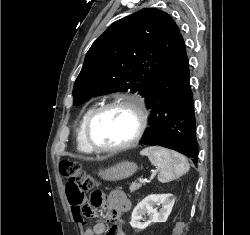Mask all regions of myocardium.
I'll return each instance as SVG.
<instances>
[{
  "label": "myocardium",
  "mask_w": 250,
  "mask_h": 235,
  "mask_svg": "<svg viewBox=\"0 0 250 235\" xmlns=\"http://www.w3.org/2000/svg\"><path fill=\"white\" fill-rule=\"evenodd\" d=\"M118 106L128 108L135 114L136 119H137V127L133 136L127 142L119 144V145H115V146L96 145L92 141V138H91V127L94 121L100 114H102L106 110L113 108V107H118ZM146 127H147V111H146L144 103L141 100L137 98H132V97L114 98L110 101H107L99 105L91 112L84 126V140L87 146L92 151L99 152V153L120 152V151L129 149L135 146L142 138Z\"/></svg>",
  "instance_id": "myocardium-1"
}]
</instances>
